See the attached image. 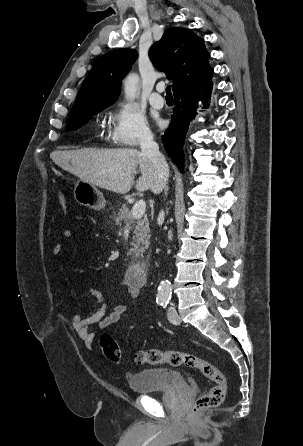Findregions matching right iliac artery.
Masks as SVG:
<instances>
[{
	"label": "right iliac artery",
	"instance_id": "right-iliac-artery-1",
	"mask_svg": "<svg viewBox=\"0 0 303 446\" xmlns=\"http://www.w3.org/2000/svg\"><path fill=\"white\" fill-rule=\"evenodd\" d=\"M165 302H166V301L163 300V299L157 300V304H159V305H161V306H162Z\"/></svg>",
	"mask_w": 303,
	"mask_h": 446
}]
</instances>
